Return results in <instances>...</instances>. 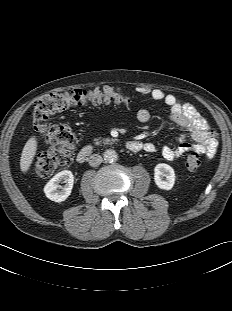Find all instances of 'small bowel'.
<instances>
[{
    "label": "small bowel",
    "instance_id": "obj_1",
    "mask_svg": "<svg viewBox=\"0 0 232 311\" xmlns=\"http://www.w3.org/2000/svg\"><path fill=\"white\" fill-rule=\"evenodd\" d=\"M137 92L153 101L163 102L169 108V119L184 128L193 141L190 143L185 137H181L176 147L163 146L161 154L166 160H175L189 152L203 154L207 158L213 156L217 148L215 135L210 130L207 121L193 105L184 103L173 94L165 93L157 88L142 86L137 88ZM136 116L140 123H148L151 119V113L147 109H140ZM144 150L152 153L156 147L152 143H146Z\"/></svg>",
    "mask_w": 232,
    "mask_h": 311
}]
</instances>
